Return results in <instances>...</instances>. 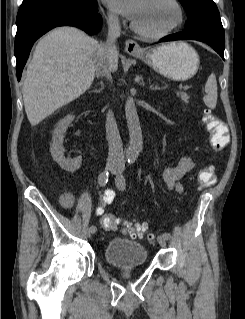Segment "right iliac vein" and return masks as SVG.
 I'll list each match as a JSON object with an SVG mask.
<instances>
[{
	"instance_id": "63e3f726",
	"label": "right iliac vein",
	"mask_w": 245,
	"mask_h": 319,
	"mask_svg": "<svg viewBox=\"0 0 245 319\" xmlns=\"http://www.w3.org/2000/svg\"><path fill=\"white\" fill-rule=\"evenodd\" d=\"M106 170H109V171H116L118 169V164L114 163V162H108L106 164V167H105ZM92 231L90 228L87 229L86 231V237L90 238L91 235H92Z\"/></svg>"
}]
</instances>
